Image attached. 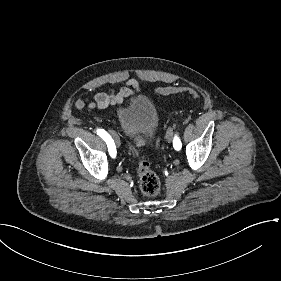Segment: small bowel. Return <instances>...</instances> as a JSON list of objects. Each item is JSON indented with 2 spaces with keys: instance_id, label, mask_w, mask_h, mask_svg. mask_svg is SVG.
I'll use <instances>...</instances> for the list:
<instances>
[{
  "instance_id": "obj_1",
  "label": "small bowel",
  "mask_w": 281,
  "mask_h": 281,
  "mask_svg": "<svg viewBox=\"0 0 281 281\" xmlns=\"http://www.w3.org/2000/svg\"><path fill=\"white\" fill-rule=\"evenodd\" d=\"M138 91V81L131 78L119 90L110 89L108 92H99L90 101L85 99L78 100L76 107L84 110H106L112 105L122 106L128 97L134 96Z\"/></svg>"
}]
</instances>
